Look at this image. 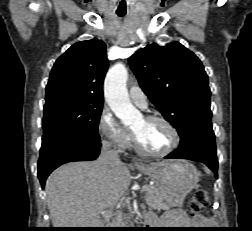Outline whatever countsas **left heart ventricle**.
Masks as SVG:
<instances>
[{"instance_id": "obj_1", "label": "left heart ventricle", "mask_w": 252, "mask_h": 231, "mask_svg": "<svg viewBox=\"0 0 252 231\" xmlns=\"http://www.w3.org/2000/svg\"><path fill=\"white\" fill-rule=\"evenodd\" d=\"M141 145L150 151L161 152L172 143V134L165 124L159 121L137 120L131 127Z\"/></svg>"}]
</instances>
